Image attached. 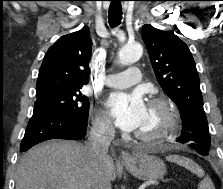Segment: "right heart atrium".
I'll use <instances>...</instances> for the list:
<instances>
[{
	"label": "right heart atrium",
	"mask_w": 223,
	"mask_h": 189,
	"mask_svg": "<svg viewBox=\"0 0 223 189\" xmlns=\"http://www.w3.org/2000/svg\"><path fill=\"white\" fill-rule=\"evenodd\" d=\"M94 130L104 136H110L113 132V126L107 117L102 113H97L93 119Z\"/></svg>",
	"instance_id": "obj_1"
}]
</instances>
